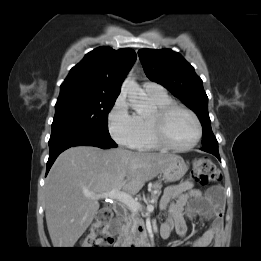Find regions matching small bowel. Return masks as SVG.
<instances>
[{
    "label": "small bowel",
    "instance_id": "obj_1",
    "mask_svg": "<svg viewBox=\"0 0 261 261\" xmlns=\"http://www.w3.org/2000/svg\"><path fill=\"white\" fill-rule=\"evenodd\" d=\"M190 202L191 216H202L210 220L209 229L192 242V247L205 248L215 241L222 228L225 194L221 187L214 186L203 192L195 189L190 180L168 187L161 199V209H169V218L161 227V233L167 236L174 228L180 237H185L187 226L183 218V209Z\"/></svg>",
    "mask_w": 261,
    "mask_h": 261
}]
</instances>
